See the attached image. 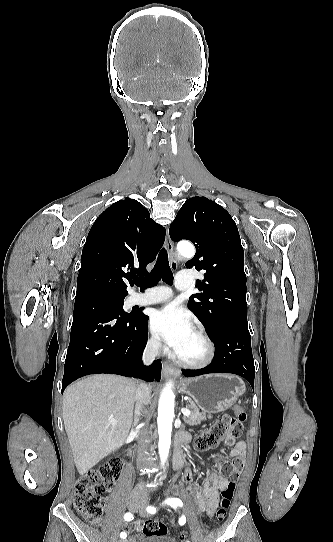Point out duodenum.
Segmentation results:
<instances>
[{"mask_svg": "<svg viewBox=\"0 0 333 542\" xmlns=\"http://www.w3.org/2000/svg\"><path fill=\"white\" fill-rule=\"evenodd\" d=\"M190 441V435L188 434H179L175 438V449H174V468L175 470H180L183 465V448L184 445Z\"/></svg>", "mask_w": 333, "mask_h": 542, "instance_id": "duodenum-1", "label": "duodenum"}]
</instances>
